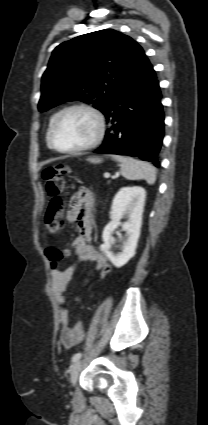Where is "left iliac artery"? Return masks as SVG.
<instances>
[{
    "label": "left iliac artery",
    "mask_w": 208,
    "mask_h": 425,
    "mask_svg": "<svg viewBox=\"0 0 208 425\" xmlns=\"http://www.w3.org/2000/svg\"><path fill=\"white\" fill-rule=\"evenodd\" d=\"M82 356V353H76L73 355L72 357V362H76L77 360H79Z\"/></svg>",
    "instance_id": "1"
}]
</instances>
